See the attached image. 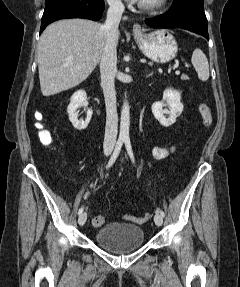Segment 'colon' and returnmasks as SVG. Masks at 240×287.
Segmentation results:
<instances>
[{"label": "colon", "mask_w": 240, "mask_h": 287, "mask_svg": "<svg viewBox=\"0 0 240 287\" xmlns=\"http://www.w3.org/2000/svg\"><path fill=\"white\" fill-rule=\"evenodd\" d=\"M199 112L203 119V123L206 126H209L212 122V114H211L210 107L206 103H201L199 105ZM37 118L41 119V115L38 114ZM37 127L39 129L40 141L45 145L51 144L53 140L51 133L47 129H45L41 124H37ZM125 219L128 221L134 222V223L143 224L148 220V215L142 216V217L126 215ZM104 222H105V218L103 215H96L92 220L93 225L96 227L102 226Z\"/></svg>", "instance_id": "colon-1"}]
</instances>
